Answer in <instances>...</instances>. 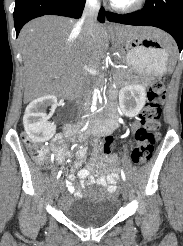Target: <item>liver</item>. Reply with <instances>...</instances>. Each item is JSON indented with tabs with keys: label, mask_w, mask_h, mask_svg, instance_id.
<instances>
[{
	"label": "liver",
	"mask_w": 183,
	"mask_h": 246,
	"mask_svg": "<svg viewBox=\"0 0 183 246\" xmlns=\"http://www.w3.org/2000/svg\"><path fill=\"white\" fill-rule=\"evenodd\" d=\"M121 37L143 33L169 45V35L155 28L122 26ZM24 62V99L68 94L80 81L86 68L99 64L108 48V33L96 24L85 36L74 19L45 15L27 23L19 34Z\"/></svg>",
	"instance_id": "1"
}]
</instances>
